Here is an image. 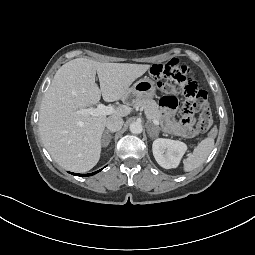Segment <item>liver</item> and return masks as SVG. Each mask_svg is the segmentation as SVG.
<instances>
[{"instance_id":"6515ba94","label":"liver","mask_w":255,"mask_h":255,"mask_svg":"<svg viewBox=\"0 0 255 255\" xmlns=\"http://www.w3.org/2000/svg\"><path fill=\"white\" fill-rule=\"evenodd\" d=\"M149 68L147 64L100 63L87 58L62 65L43 97L39 115L40 136L53 160L73 172L92 169L100 159L107 119L125 117L132 109L118 107L108 118L78 110L97 104L101 95L106 102L127 99L130 85Z\"/></svg>"}]
</instances>
